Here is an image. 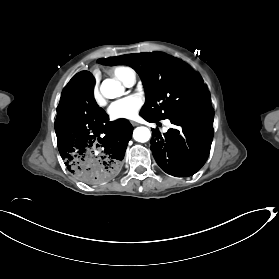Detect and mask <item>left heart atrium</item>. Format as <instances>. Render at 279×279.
Returning <instances> with one entry per match:
<instances>
[{"label":"left heart atrium","instance_id":"obj_1","mask_svg":"<svg viewBox=\"0 0 279 279\" xmlns=\"http://www.w3.org/2000/svg\"><path fill=\"white\" fill-rule=\"evenodd\" d=\"M142 105L141 97L130 95L112 103L108 108V115L112 120L134 119Z\"/></svg>","mask_w":279,"mask_h":279}]
</instances>
